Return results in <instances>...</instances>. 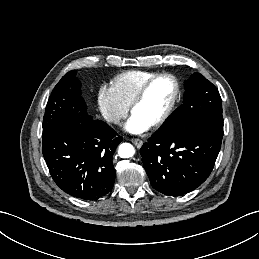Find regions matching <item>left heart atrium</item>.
Here are the masks:
<instances>
[{
    "label": "left heart atrium",
    "mask_w": 259,
    "mask_h": 259,
    "mask_svg": "<svg viewBox=\"0 0 259 259\" xmlns=\"http://www.w3.org/2000/svg\"><path fill=\"white\" fill-rule=\"evenodd\" d=\"M150 128V124L143 121L140 117L133 114L124 126V129L133 134H140L147 131Z\"/></svg>",
    "instance_id": "left-heart-atrium-1"
}]
</instances>
